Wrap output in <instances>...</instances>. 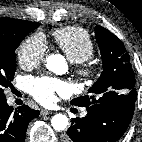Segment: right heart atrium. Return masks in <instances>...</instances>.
Wrapping results in <instances>:
<instances>
[{"label": "right heart atrium", "instance_id": "obj_1", "mask_svg": "<svg viewBox=\"0 0 142 142\" xmlns=\"http://www.w3.org/2000/svg\"><path fill=\"white\" fill-rule=\"evenodd\" d=\"M47 45L45 38L40 33L28 36L19 46L17 56L23 68L37 67L43 60Z\"/></svg>", "mask_w": 142, "mask_h": 142}]
</instances>
